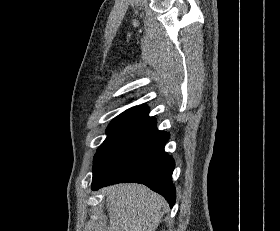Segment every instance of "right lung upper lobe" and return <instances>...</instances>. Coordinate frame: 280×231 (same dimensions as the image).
<instances>
[{
	"label": "right lung upper lobe",
	"instance_id": "1",
	"mask_svg": "<svg viewBox=\"0 0 280 231\" xmlns=\"http://www.w3.org/2000/svg\"><path fill=\"white\" fill-rule=\"evenodd\" d=\"M149 108L142 104L140 106L132 107L125 112L118 115L113 121L128 122L132 125H141L154 120V117H149Z\"/></svg>",
	"mask_w": 280,
	"mask_h": 231
}]
</instances>
